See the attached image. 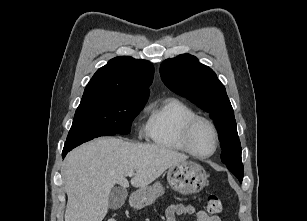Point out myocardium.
I'll return each mask as SVG.
<instances>
[{"label": "myocardium", "instance_id": "f54148a6", "mask_svg": "<svg viewBox=\"0 0 307 221\" xmlns=\"http://www.w3.org/2000/svg\"><path fill=\"white\" fill-rule=\"evenodd\" d=\"M200 122L207 124L210 127V129L212 130L213 135H214V148L208 154H200V153L196 152L191 145V141H190L191 133H192L194 127ZM180 141H181V144L184 147L185 151H187L189 154H191L192 156L199 158V159H206V158H210L211 156H213L216 153V151L218 150L219 133H218V130H217L215 124L211 120H209L208 118L203 117V116L195 115V116L191 117L190 119H188L184 123L182 130H181V133H180Z\"/></svg>", "mask_w": 307, "mask_h": 221}]
</instances>
